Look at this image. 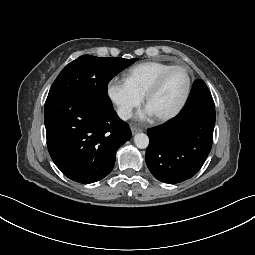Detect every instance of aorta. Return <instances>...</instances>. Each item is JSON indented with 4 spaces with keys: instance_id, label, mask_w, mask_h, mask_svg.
<instances>
[{
    "instance_id": "1",
    "label": "aorta",
    "mask_w": 255,
    "mask_h": 255,
    "mask_svg": "<svg viewBox=\"0 0 255 255\" xmlns=\"http://www.w3.org/2000/svg\"><path fill=\"white\" fill-rule=\"evenodd\" d=\"M135 145L140 149H145L149 145V137L144 133H138L134 137Z\"/></svg>"
}]
</instances>
